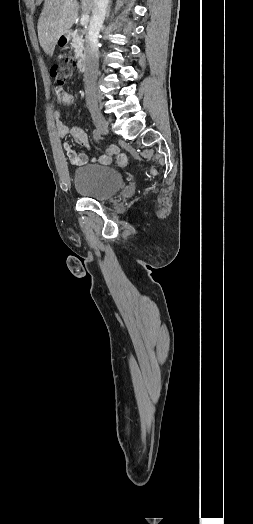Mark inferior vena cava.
Returning <instances> with one entry per match:
<instances>
[{"label":"inferior vena cava","instance_id":"602c4592","mask_svg":"<svg viewBox=\"0 0 253 524\" xmlns=\"http://www.w3.org/2000/svg\"><path fill=\"white\" fill-rule=\"evenodd\" d=\"M109 0H94V8L90 20L88 34L86 36V69L84 73V85L86 102L88 106L97 104L96 81L98 75V35L102 28Z\"/></svg>","mask_w":253,"mask_h":524}]
</instances>
